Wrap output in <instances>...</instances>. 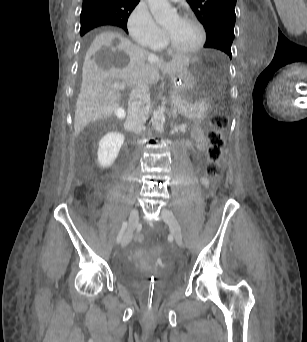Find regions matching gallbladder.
I'll use <instances>...</instances> for the list:
<instances>
[{"label":"gallbladder","instance_id":"1","mask_svg":"<svg viewBox=\"0 0 307 342\" xmlns=\"http://www.w3.org/2000/svg\"><path fill=\"white\" fill-rule=\"evenodd\" d=\"M115 116L117 117V118H120L121 116H125L126 114L124 113L126 110L123 108H121V107H116L115 108ZM123 112V113H122Z\"/></svg>","mask_w":307,"mask_h":342}]
</instances>
